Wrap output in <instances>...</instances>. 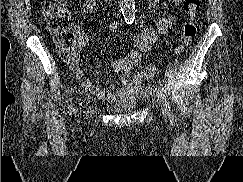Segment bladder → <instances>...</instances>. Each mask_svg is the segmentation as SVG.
Returning a JSON list of instances; mask_svg holds the SVG:
<instances>
[{"instance_id": "31cf9c89", "label": "bladder", "mask_w": 243, "mask_h": 182, "mask_svg": "<svg viewBox=\"0 0 243 182\" xmlns=\"http://www.w3.org/2000/svg\"><path fill=\"white\" fill-rule=\"evenodd\" d=\"M138 107V101L135 97L123 98L113 104L106 106L107 111L116 114H126L135 111Z\"/></svg>"}]
</instances>
